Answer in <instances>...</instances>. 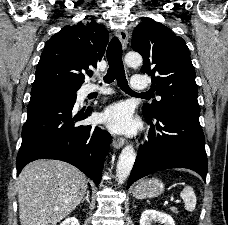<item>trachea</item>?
<instances>
[{
    "label": "trachea",
    "instance_id": "1",
    "mask_svg": "<svg viewBox=\"0 0 228 225\" xmlns=\"http://www.w3.org/2000/svg\"><path fill=\"white\" fill-rule=\"evenodd\" d=\"M107 60L109 63V68L107 74L104 77L105 83H112L114 80H117L118 86L125 93H128L133 96H142L144 98H151L147 92H142V94H136L133 90L128 86V82L126 80L124 65L122 61V47L118 38L114 37L110 41L107 48ZM93 72L88 73L91 77Z\"/></svg>",
    "mask_w": 228,
    "mask_h": 225
}]
</instances>
